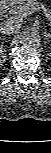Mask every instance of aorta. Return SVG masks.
<instances>
[{
  "label": "aorta",
  "instance_id": "aorta-1",
  "mask_svg": "<svg viewBox=\"0 0 51 153\" xmlns=\"http://www.w3.org/2000/svg\"><path fill=\"white\" fill-rule=\"evenodd\" d=\"M20 41L24 45L35 46L40 41V34L35 28L25 29L21 33Z\"/></svg>",
  "mask_w": 51,
  "mask_h": 153
}]
</instances>
